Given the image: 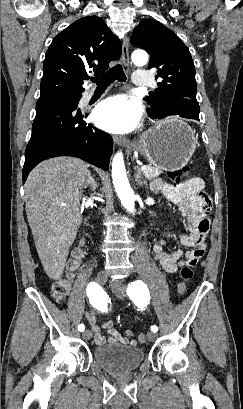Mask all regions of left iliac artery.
<instances>
[{
	"label": "left iliac artery",
	"mask_w": 243,
	"mask_h": 409,
	"mask_svg": "<svg viewBox=\"0 0 243 409\" xmlns=\"http://www.w3.org/2000/svg\"><path fill=\"white\" fill-rule=\"evenodd\" d=\"M127 293L133 301H136V299L143 300L144 297H148L149 295L148 289L142 281H136L129 284ZM151 331L156 333L158 331V327L155 325L151 326Z\"/></svg>",
	"instance_id": "1"
}]
</instances>
